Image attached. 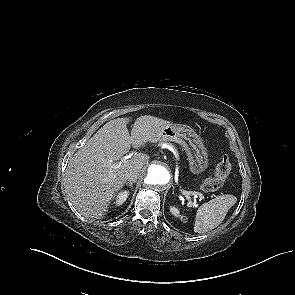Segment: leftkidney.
I'll return each instance as SVG.
<instances>
[{
	"label": "left kidney",
	"mask_w": 295,
	"mask_h": 295,
	"mask_svg": "<svg viewBox=\"0 0 295 295\" xmlns=\"http://www.w3.org/2000/svg\"><path fill=\"white\" fill-rule=\"evenodd\" d=\"M170 212L172 215H174L175 217H180L181 220L183 219V216L180 215V211L178 210V208H176L175 206H170Z\"/></svg>",
	"instance_id": "5707ae66"
}]
</instances>
